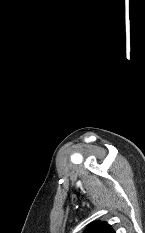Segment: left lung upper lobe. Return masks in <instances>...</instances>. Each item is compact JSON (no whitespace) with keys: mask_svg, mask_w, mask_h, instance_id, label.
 Wrapping results in <instances>:
<instances>
[{"mask_svg":"<svg viewBox=\"0 0 145 233\" xmlns=\"http://www.w3.org/2000/svg\"><path fill=\"white\" fill-rule=\"evenodd\" d=\"M84 233H115L111 225L106 222H94L90 224Z\"/></svg>","mask_w":145,"mask_h":233,"instance_id":"obj_1","label":"left lung upper lobe"}]
</instances>
